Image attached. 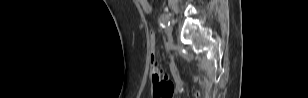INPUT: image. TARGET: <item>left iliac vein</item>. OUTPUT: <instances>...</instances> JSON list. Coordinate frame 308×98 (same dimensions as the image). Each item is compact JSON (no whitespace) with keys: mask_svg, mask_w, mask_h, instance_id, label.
<instances>
[{"mask_svg":"<svg viewBox=\"0 0 308 98\" xmlns=\"http://www.w3.org/2000/svg\"><path fill=\"white\" fill-rule=\"evenodd\" d=\"M172 31H173L172 26H167V27L165 28V33H166V35H168V36H171V35H172Z\"/></svg>","mask_w":308,"mask_h":98,"instance_id":"left-iliac-vein-1","label":"left iliac vein"}]
</instances>
